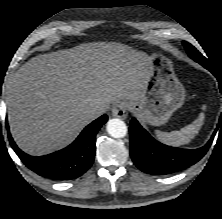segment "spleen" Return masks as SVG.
<instances>
[{
    "mask_svg": "<svg viewBox=\"0 0 222 219\" xmlns=\"http://www.w3.org/2000/svg\"><path fill=\"white\" fill-rule=\"evenodd\" d=\"M206 109V105H203V110ZM205 114L201 112L196 120L191 124L183 127L180 131L162 132L156 131L157 138L170 146L179 147L184 144H188L199 132L204 124Z\"/></svg>",
    "mask_w": 222,
    "mask_h": 219,
    "instance_id": "spleen-1",
    "label": "spleen"
}]
</instances>
